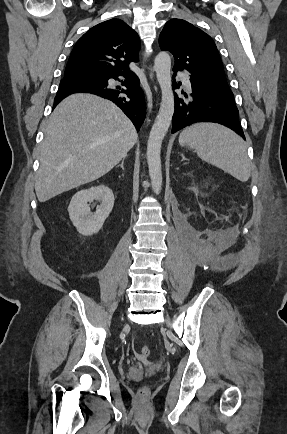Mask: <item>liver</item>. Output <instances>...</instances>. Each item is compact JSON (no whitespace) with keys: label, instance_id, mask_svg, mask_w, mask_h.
I'll use <instances>...</instances> for the list:
<instances>
[{"label":"liver","instance_id":"liver-1","mask_svg":"<svg viewBox=\"0 0 287 434\" xmlns=\"http://www.w3.org/2000/svg\"><path fill=\"white\" fill-rule=\"evenodd\" d=\"M44 133L35 180L39 202L102 177L138 139L132 122L114 103L86 93L66 97Z\"/></svg>","mask_w":287,"mask_h":434}]
</instances>
